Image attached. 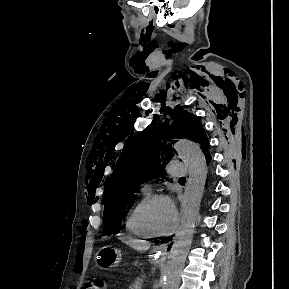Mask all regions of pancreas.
I'll return each instance as SVG.
<instances>
[{
  "label": "pancreas",
  "instance_id": "1",
  "mask_svg": "<svg viewBox=\"0 0 289 289\" xmlns=\"http://www.w3.org/2000/svg\"><path fill=\"white\" fill-rule=\"evenodd\" d=\"M143 285V277L137 278L129 287V289H141Z\"/></svg>",
  "mask_w": 289,
  "mask_h": 289
}]
</instances>
